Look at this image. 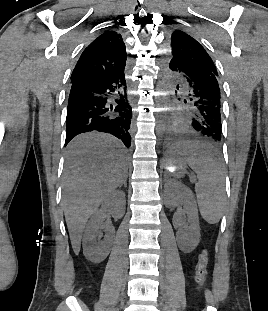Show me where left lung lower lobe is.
I'll return each instance as SVG.
<instances>
[{
	"mask_svg": "<svg viewBox=\"0 0 268 311\" xmlns=\"http://www.w3.org/2000/svg\"><path fill=\"white\" fill-rule=\"evenodd\" d=\"M165 64L168 72L180 75L185 82L178 84L177 89L185 86L189 92L184 100L189 109L185 119L175 125L177 132H172V141L207 140L217 147L223 136L219 78L211 69L198 63H169L166 60Z\"/></svg>",
	"mask_w": 268,
	"mask_h": 311,
	"instance_id": "1",
	"label": "left lung lower lobe"
}]
</instances>
